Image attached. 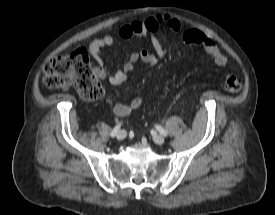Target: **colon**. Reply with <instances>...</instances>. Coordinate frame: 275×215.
<instances>
[{"label": "colon", "mask_w": 275, "mask_h": 215, "mask_svg": "<svg viewBox=\"0 0 275 215\" xmlns=\"http://www.w3.org/2000/svg\"><path fill=\"white\" fill-rule=\"evenodd\" d=\"M44 83L60 91L75 88L86 100H97L104 94L102 85L92 72L88 53L81 48L68 55L50 58L44 66ZM222 86L230 93H238L242 82L235 75L227 74Z\"/></svg>", "instance_id": "5ec220e1"}]
</instances>
